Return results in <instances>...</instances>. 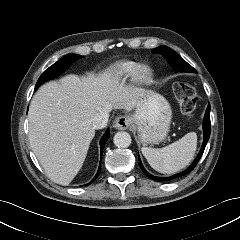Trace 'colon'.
Returning <instances> with one entry per match:
<instances>
[{"mask_svg": "<svg viewBox=\"0 0 240 240\" xmlns=\"http://www.w3.org/2000/svg\"><path fill=\"white\" fill-rule=\"evenodd\" d=\"M173 92L180 102L181 110L187 117H192L197 111L198 97L193 85L186 82H176Z\"/></svg>", "mask_w": 240, "mask_h": 240, "instance_id": "1", "label": "colon"}]
</instances>
